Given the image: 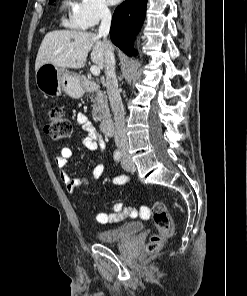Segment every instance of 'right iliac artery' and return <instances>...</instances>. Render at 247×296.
Instances as JSON below:
<instances>
[{"label": "right iliac artery", "instance_id": "obj_1", "mask_svg": "<svg viewBox=\"0 0 247 296\" xmlns=\"http://www.w3.org/2000/svg\"><path fill=\"white\" fill-rule=\"evenodd\" d=\"M121 156L122 154L119 151H116L114 153V160L118 162L121 159Z\"/></svg>", "mask_w": 247, "mask_h": 296}]
</instances>
